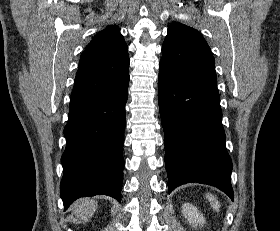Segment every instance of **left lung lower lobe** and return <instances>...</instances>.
I'll use <instances>...</instances> for the list:
<instances>
[{"mask_svg": "<svg viewBox=\"0 0 280 231\" xmlns=\"http://www.w3.org/2000/svg\"><path fill=\"white\" fill-rule=\"evenodd\" d=\"M168 193L186 183L217 187L234 199L216 83L182 82L159 71Z\"/></svg>", "mask_w": 280, "mask_h": 231, "instance_id": "0a47b994", "label": "left lung lower lobe"}]
</instances>
